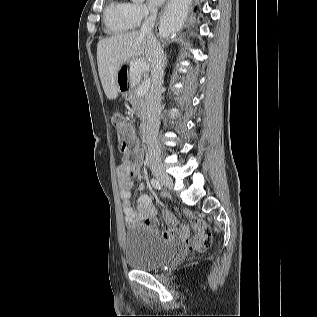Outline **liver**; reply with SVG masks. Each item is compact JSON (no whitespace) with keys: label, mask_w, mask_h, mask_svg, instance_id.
<instances>
[{"label":"liver","mask_w":317,"mask_h":317,"mask_svg":"<svg viewBox=\"0 0 317 317\" xmlns=\"http://www.w3.org/2000/svg\"><path fill=\"white\" fill-rule=\"evenodd\" d=\"M152 44L145 35L133 31L102 39L97 44V64L103 90L108 99L118 96L117 73L123 64L131 59L141 71H148L152 64ZM150 61L149 63L146 61Z\"/></svg>","instance_id":"6515ba94"}]
</instances>
